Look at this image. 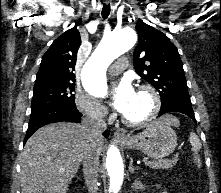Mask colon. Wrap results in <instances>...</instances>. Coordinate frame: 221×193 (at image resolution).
<instances>
[{
	"mask_svg": "<svg viewBox=\"0 0 221 193\" xmlns=\"http://www.w3.org/2000/svg\"><path fill=\"white\" fill-rule=\"evenodd\" d=\"M193 161H194V164L196 165L197 168L201 167V161L199 160L198 157L195 156Z\"/></svg>",
	"mask_w": 221,
	"mask_h": 193,
	"instance_id": "5ec220e1",
	"label": "colon"
}]
</instances>
